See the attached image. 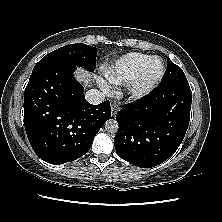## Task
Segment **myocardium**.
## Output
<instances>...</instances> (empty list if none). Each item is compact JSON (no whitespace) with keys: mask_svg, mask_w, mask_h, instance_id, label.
<instances>
[{"mask_svg":"<svg viewBox=\"0 0 222 222\" xmlns=\"http://www.w3.org/2000/svg\"><path fill=\"white\" fill-rule=\"evenodd\" d=\"M156 60L161 62V70L157 75L150 76V67ZM165 70V63L162 58L158 56L151 57L150 60L144 65L138 76L130 82L128 87L130 96L135 99H139L148 95L160 83L165 74Z\"/></svg>","mask_w":222,"mask_h":222,"instance_id":"1","label":"myocardium"}]
</instances>
